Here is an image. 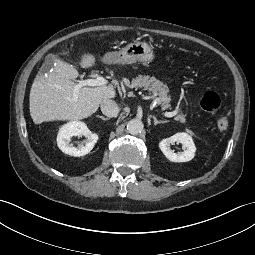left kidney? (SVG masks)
Instances as JSON below:
<instances>
[{"instance_id": "5707ae66", "label": "left kidney", "mask_w": 255, "mask_h": 255, "mask_svg": "<svg viewBox=\"0 0 255 255\" xmlns=\"http://www.w3.org/2000/svg\"><path fill=\"white\" fill-rule=\"evenodd\" d=\"M175 142L181 143L183 151L179 153H175L170 145ZM159 147L163 154L172 162H187L194 158L196 147L193 142V139L187 133H176L173 136L163 139L159 143Z\"/></svg>"}]
</instances>
